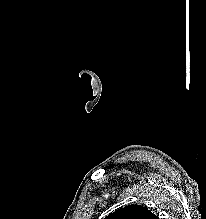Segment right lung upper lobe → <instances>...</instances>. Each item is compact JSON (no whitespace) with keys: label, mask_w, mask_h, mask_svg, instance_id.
I'll list each match as a JSON object with an SVG mask.
<instances>
[{"label":"right lung upper lobe","mask_w":206,"mask_h":219,"mask_svg":"<svg viewBox=\"0 0 206 219\" xmlns=\"http://www.w3.org/2000/svg\"><path fill=\"white\" fill-rule=\"evenodd\" d=\"M104 219H158L146 207L141 205H128L109 214Z\"/></svg>","instance_id":"right-lung-upper-lobe-1"}]
</instances>
